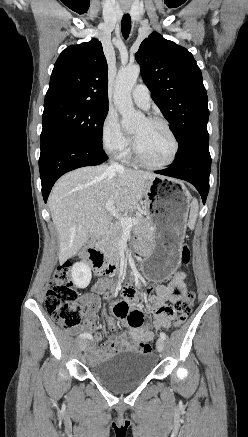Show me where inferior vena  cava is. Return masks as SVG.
<instances>
[{
	"mask_svg": "<svg viewBox=\"0 0 248 437\" xmlns=\"http://www.w3.org/2000/svg\"><path fill=\"white\" fill-rule=\"evenodd\" d=\"M110 162H111V166L114 169H116V170H123L124 169V167L121 164H118L117 162H113V161H110Z\"/></svg>",
	"mask_w": 248,
	"mask_h": 437,
	"instance_id": "inferior-vena-cava-1",
	"label": "inferior vena cava"
}]
</instances>
